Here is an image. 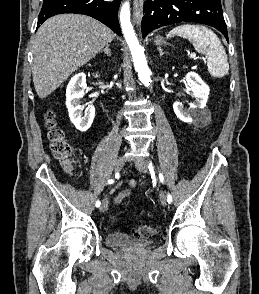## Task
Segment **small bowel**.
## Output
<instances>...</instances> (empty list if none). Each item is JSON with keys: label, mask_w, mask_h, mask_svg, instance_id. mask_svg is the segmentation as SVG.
I'll return each instance as SVG.
<instances>
[{"label": "small bowel", "mask_w": 259, "mask_h": 294, "mask_svg": "<svg viewBox=\"0 0 259 294\" xmlns=\"http://www.w3.org/2000/svg\"><path fill=\"white\" fill-rule=\"evenodd\" d=\"M131 186H135L134 181H130ZM131 195V192L129 190H124L120 192L114 199L113 203L114 204H121L124 200H126L129 196Z\"/></svg>", "instance_id": "small-bowel-1"}]
</instances>
